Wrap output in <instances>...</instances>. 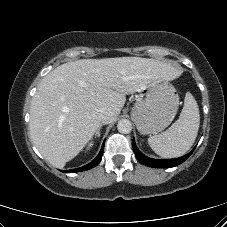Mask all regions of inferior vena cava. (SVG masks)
<instances>
[{
	"instance_id": "obj_1",
	"label": "inferior vena cava",
	"mask_w": 227,
	"mask_h": 227,
	"mask_svg": "<svg viewBox=\"0 0 227 227\" xmlns=\"http://www.w3.org/2000/svg\"><path fill=\"white\" fill-rule=\"evenodd\" d=\"M114 113L109 109H103L100 112V121L103 124H109L113 121Z\"/></svg>"
}]
</instances>
